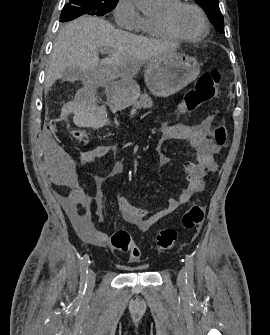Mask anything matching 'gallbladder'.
<instances>
[{"label":"gallbladder","mask_w":270,"mask_h":335,"mask_svg":"<svg viewBox=\"0 0 270 335\" xmlns=\"http://www.w3.org/2000/svg\"><path fill=\"white\" fill-rule=\"evenodd\" d=\"M86 76V72H82V70L76 68V66L66 68L65 70V80H69V82H77V80H82V78H86Z\"/></svg>","instance_id":"bac80fb5"}]
</instances>
